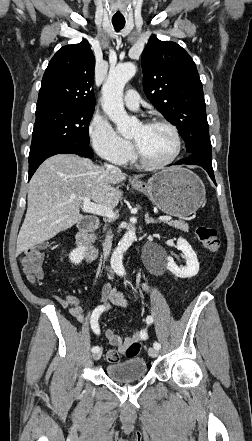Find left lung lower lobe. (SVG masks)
<instances>
[{
  "instance_id": "left-lung-lower-lobe-1",
  "label": "left lung lower lobe",
  "mask_w": 252,
  "mask_h": 441,
  "mask_svg": "<svg viewBox=\"0 0 252 441\" xmlns=\"http://www.w3.org/2000/svg\"><path fill=\"white\" fill-rule=\"evenodd\" d=\"M188 164L199 165L203 167L209 174L210 178L215 182L214 172L212 168V154L193 153L189 157L179 160L175 165Z\"/></svg>"
}]
</instances>
